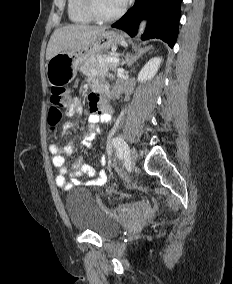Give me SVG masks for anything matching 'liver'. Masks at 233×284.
Instances as JSON below:
<instances>
[{"mask_svg":"<svg viewBox=\"0 0 233 284\" xmlns=\"http://www.w3.org/2000/svg\"><path fill=\"white\" fill-rule=\"evenodd\" d=\"M106 30V27L87 25H67L56 29L47 46L46 60L53 56L87 45L97 39Z\"/></svg>","mask_w":233,"mask_h":284,"instance_id":"liver-1","label":"liver"}]
</instances>
